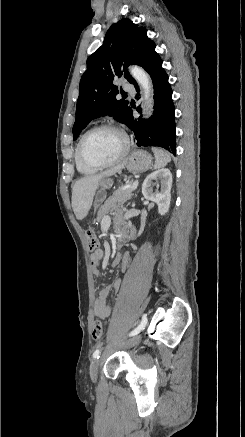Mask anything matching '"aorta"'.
Here are the masks:
<instances>
[{
	"mask_svg": "<svg viewBox=\"0 0 245 437\" xmlns=\"http://www.w3.org/2000/svg\"><path fill=\"white\" fill-rule=\"evenodd\" d=\"M130 73L134 77V79L141 85L144 90L145 100L147 104V108L151 105V81L147 73L138 66H133L130 68Z\"/></svg>",
	"mask_w": 245,
	"mask_h": 437,
	"instance_id": "1",
	"label": "aorta"
}]
</instances>
